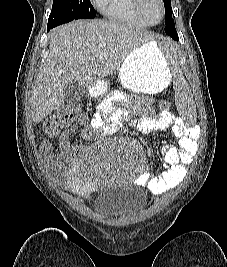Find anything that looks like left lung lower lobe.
I'll return each mask as SVG.
<instances>
[{"label":"left lung lower lobe","mask_w":227,"mask_h":267,"mask_svg":"<svg viewBox=\"0 0 227 267\" xmlns=\"http://www.w3.org/2000/svg\"><path fill=\"white\" fill-rule=\"evenodd\" d=\"M165 32H166L167 35L172 37L174 40H178L179 39L174 24L167 25L165 27Z\"/></svg>","instance_id":"1"}]
</instances>
